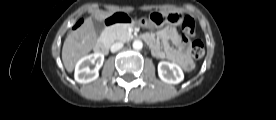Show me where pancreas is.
Instances as JSON below:
<instances>
[{
    "mask_svg": "<svg viewBox=\"0 0 276 120\" xmlns=\"http://www.w3.org/2000/svg\"><path fill=\"white\" fill-rule=\"evenodd\" d=\"M128 25L125 24H116L107 28L104 32V37L108 43H114L116 41L125 42L131 35L128 32Z\"/></svg>",
    "mask_w": 276,
    "mask_h": 120,
    "instance_id": "cf45deb5",
    "label": "pancreas"
}]
</instances>
